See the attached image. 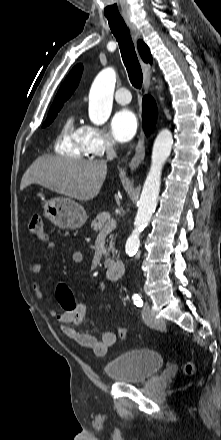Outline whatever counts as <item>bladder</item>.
<instances>
[{
    "mask_svg": "<svg viewBox=\"0 0 221 440\" xmlns=\"http://www.w3.org/2000/svg\"><path fill=\"white\" fill-rule=\"evenodd\" d=\"M164 365L162 355L152 349L123 353L104 364L107 377L118 383H140L154 376Z\"/></svg>",
    "mask_w": 221,
    "mask_h": 440,
    "instance_id": "obj_1",
    "label": "bladder"
}]
</instances>
